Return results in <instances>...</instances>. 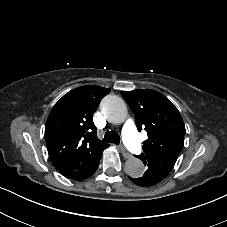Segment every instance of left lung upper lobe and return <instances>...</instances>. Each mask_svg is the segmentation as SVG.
Segmentation results:
<instances>
[{"mask_svg": "<svg viewBox=\"0 0 227 227\" xmlns=\"http://www.w3.org/2000/svg\"><path fill=\"white\" fill-rule=\"evenodd\" d=\"M121 95L135 114L138 130L144 128L148 134L144 152L136 157L168 175L184 146L186 131L178 109L154 90L121 91Z\"/></svg>", "mask_w": 227, "mask_h": 227, "instance_id": "obj_1", "label": "left lung upper lobe"}]
</instances>
